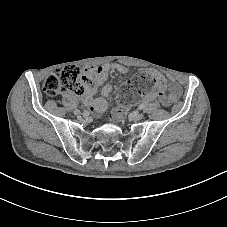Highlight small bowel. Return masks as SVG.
I'll list each match as a JSON object with an SVG mask.
<instances>
[{"mask_svg":"<svg viewBox=\"0 0 227 227\" xmlns=\"http://www.w3.org/2000/svg\"><path fill=\"white\" fill-rule=\"evenodd\" d=\"M111 71L125 74L129 72V68L117 63H106L98 67L88 66L83 69L84 91L80 96L91 111L102 113L106 110L113 92V87L106 83ZM148 74L153 77L157 92H149L145 96L146 99L158 96L164 106H170L179 99L181 87L177 82L172 80L168 84L165 76L154 70L149 71ZM98 86H102L100 96H96Z\"/></svg>","mask_w":227,"mask_h":227,"instance_id":"obj_1","label":"small bowel"}]
</instances>
